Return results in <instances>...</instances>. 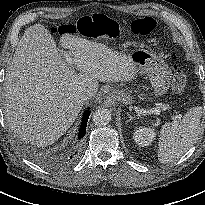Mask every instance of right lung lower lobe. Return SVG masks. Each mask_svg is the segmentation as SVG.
I'll return each mask as SVG.
<instances>
[{
    "label": "right lung lower lobe",
    "instance_id": "obj_1",
    "mask_svg": "<svg viewBox=\"0 0 205 205\" xmlns=\"http://www.w3.org/2000/svg\"><path fill=\"white\" fill-rule=\"evenodd\" d=\"M89 114H90V112L87 110L83 115L81 127H80L79 134H78L79 138H82L86 133V126H87ZM75 154H76V152H75ZM74 158H75L74 155L66 156V157L60 159L56 163L59 165H68L74 161Z\"/></svg>",
    "mask_w": 205,
    "mask_h": 205
}]
</instances>
